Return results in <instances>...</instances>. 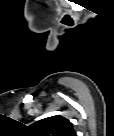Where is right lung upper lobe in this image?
I'll return each mask as SVG.
<instances>
[{
	"instance_id": "right-lung-upper-lobe-1",
	"label": "right lung upper lobe",
	"mask_w": 114,
	"mask_h": 136,
	"mask_svg": "<svg viewBox=\"0 0 114 136\" xmlns=\"http://www.w3.org/2000/svg\"><path fill=\"white\" fill-rule=\"evenodd\" d=\"M29 129L36 136H76L72 123L60 115L39 120Z\"/></svg>"
}]
</instances>
